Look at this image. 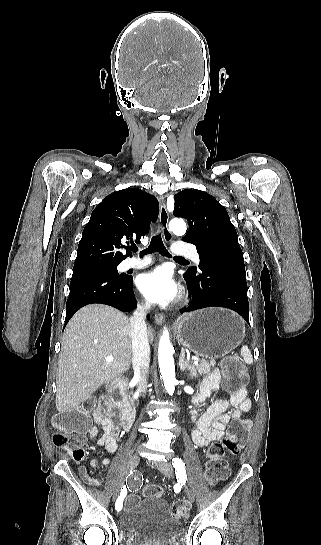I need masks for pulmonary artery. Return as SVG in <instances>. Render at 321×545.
<instances>
[{"label": "pulmonary artery", "instance_id": "1", "mask_svg": "<svg viewBox=\"0 0 321 545\" xmlns=\"http://www.w3.org/2000/svg\"><path fill=\"white\" fill-rule=\"evenodd\" d=\"M171 252L174 257H184L187 260L192 258L195 262H199V256L198 254H195V248L193 246H188L186 241H177ZM150 264L151 260L127 259L120 263L119 268L121 270L143 269Z\"/></svg>", "mask_w": 321, "mask_h": 545}]
</instances>
